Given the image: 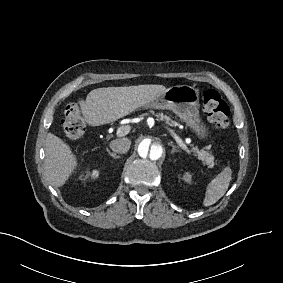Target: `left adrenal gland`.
Returning a JSON list of instances; mask_svg holds the SVG:
<instances>
[{
    "label": "left adrenal gland",
    "mask_w": 283,
    "mask_h": 283,
    "mask_svg": "<svg viewBox=\"0 0 283 283\" xmlns=\"http://www.w3.org/2000/svg\"><path fill=\"white\" fill-rule=\"evenodd\" d=\"M168 145L172 147L171 154H173L174 152H180V150H178L177 147L173 145V142H169Z\"/></svg>",
    "instance_id": "obj_1"
}]
</instances>
